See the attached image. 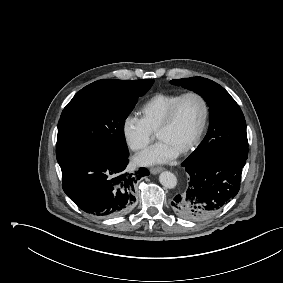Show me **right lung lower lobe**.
I'll return each instance as SVG.
<instances>
[{
	"instance_id": "obj_1",
	"label": "right lung lower lobe",
	"mask_w": 283,
	"mask_h": 283,
	"mask_svg": "<svg viewBox=\"0 0 283 283\" xmlns=\"http://www.w3.org/2000/svg\"><path fill=\"white\" fill-rule=\"evenodd\" d=\"M128 156L95 151L77 156L61 165L63 190L83 211L98 217L129 212L135 202L134 185L149 175L146 168L125 172Z\"/></svg>"
}]
</instances>
